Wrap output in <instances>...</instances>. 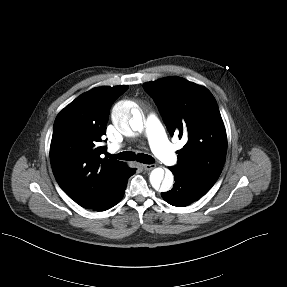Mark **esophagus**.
Returning a JSON list of instances; mask_svg holds the SVG:
<instances>
[{"instance_id":"34e87169","label":"esophagus","mask_w":287,"mask_h":287,"mask_svg":"<svg viewBox=\"0 0 287 287\" xmlns=\"http://www.w3.org/2000/svg\"><path fill=\"white\" fill-rule=\"evenodd\" d=\"M155 167H156L155 164H144V165H143V168H144V170H146V171H150V170L154 169Z\"/></svg>"}]
</instances>
